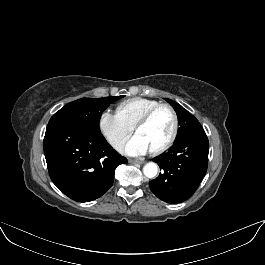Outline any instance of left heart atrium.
Listing matches in <instances>:
<instances>
[{"instance_id":"1","label":"left heart atrium","mask_w":265,"mask_h":265,"mask_svg":"<svg viewBox=\"0 0 265 265\" xmlns=\"http://www.w3.org/2000/svg\"><path fill=\"white\" fill-rule=\"evenodd\" d=\"M149 151L151 150L147 143L137 134L129 139L123 147V152L131 156L144 155Z\"/></svg>"}]
</instances>
